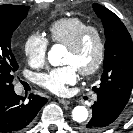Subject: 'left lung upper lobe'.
<instances>
[{"label":"left lung upper lobe","instance_id":"left-lung-upper-lobe-1","mask_svg":"<svg viewBox=\"0 0 133 133\" xmlns=\"http://www.w3.org/2000/svg\"><path fill=\"white\" fill-rule=\"evenodd\" d=\"M93 8L105 30L104 71L96 93H106L128 102L133 88V45L120 19L107 8L94 3Z\"/></svg>","mask_w":133,"mask_h":133}]
</instances>
